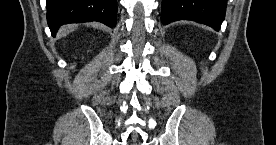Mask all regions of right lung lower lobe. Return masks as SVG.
<instances>
[{
	"label": "right lung lower lobe",
	"mask_w": 276,
	"mask_h": 145,
	"mask_svg": "<svg viewBox=\"0 0 276 145\" xmlns=\"http://www.w3.org/2000/svg\"><path fill=\"white\" fill-rule=\"evenodd\" d=\"M47 22L55 36L67 23L99 21L115 27L117 0H46Z\"/></svg>",
	"instance_id": "1"
}]
</instances>
